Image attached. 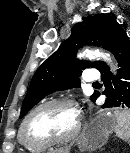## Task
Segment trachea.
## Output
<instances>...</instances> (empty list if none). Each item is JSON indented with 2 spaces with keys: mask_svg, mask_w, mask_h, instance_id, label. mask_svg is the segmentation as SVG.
<instances>
[{
  "mask_svg": "<svg viewBox=\"0 0 130 153\" xmlns=\"http://www.w3.org/2000/svg\"><path fill=\"white\" fill-rule=\"evenodd\" d=\"M93 85H99V82H95V83H93Z\"/></svg>",
  "mask_w": 130,
  "mask_h": 153,
  "instance_id": "3493384b",
  "label": "trachea"
}]
</instances>
